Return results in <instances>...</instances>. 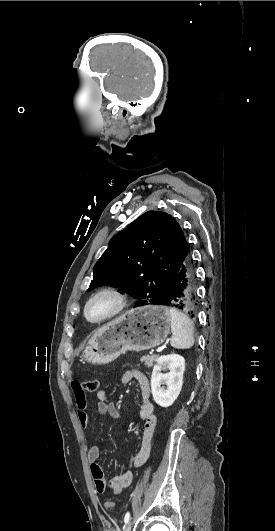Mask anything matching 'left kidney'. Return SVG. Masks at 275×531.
I'll list each match as a JSON object with an SVG mask.
<instances>
[{"instance_id": "left-kidney-1", "label": "left kidney", "mask_w": 275, "mask_h": 531, "mask_svg": "<svg viewBox=\"0 0 275 531\" xmlns=\"http://www.w3.org/2000/svg\"><path fill=\"white\" fill-rule=\"evenodd\" d=\"M169 369L170 373H161ZM185 359L181 355H162L157 359L151 375V393L153 399L160 407H170L176 401L183 385ZM160 385H167L160 387Z\"/></svg>"}]
</instances>
